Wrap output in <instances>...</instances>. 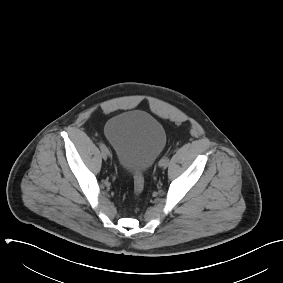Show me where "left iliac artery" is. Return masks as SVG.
<instances>
[{"label": "left iliac artery", "instance_id": "obj_1", "mask_svg": "<svg viewBox=\"0 0 283 283\" xmlns=\"http://www.w3.org/2000/svg\"><path fill=\"white\" fill-rule=\"evenodd\" d=\"M161 162L168 164V163H169V157H168V155L163 156V157L161 158V160L159 161V163H161Z\"/></svg>", "mask_w": 283, "mask_h": 283}]
</instances>
